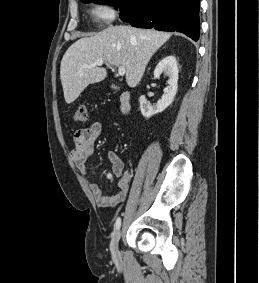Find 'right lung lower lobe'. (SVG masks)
Returning a JSON list of instances; mask_svg holds the SVG:
<instances>
[{"label": "right lung lower lobe", "instance_id": "98d812e1", "mask_svg": "<svg viewBox=\"0 0 259 283\" xmlns=\"http://www.w3.org/2000/svg\"><path fill=\"white\" fill-rule=\"evenodd\" d=\"M200 0H121V20L134 27L178 31L199 38Z\"/></svg>", "mask_w": 259, "mask_h": 283}]
</instances>
